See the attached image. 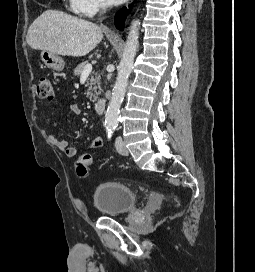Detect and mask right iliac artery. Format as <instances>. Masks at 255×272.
<instances>
[{
	"label": "right iliac artery",
	"mask_w": 255,
	"mask_h": 272,
	"mask_svg": "<svg viewBox=\"0 0 255 272\" xmlns=\"http://www.w3.org/2000/svg\"><path fill=\"white\" fill-rule=\"evenodd\" d=\"M113 131L111 129H107V136L110 139L112 137Z\"/></svg>",
	"instance_id": "1"
}]
</instances>
